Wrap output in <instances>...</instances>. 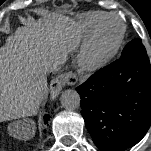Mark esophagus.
I'll list each match as a JSON object with an SVG mask.
<instances>
[{
	"label": "esophagus",
	"mask_w": 151,
	"mask_h": 151,
	"mask_svg": "<svg viewBox=\"0 0 151 151\" xmlns=\"http://www.w3.org/2000/svg\"><path fill=\"white\" fill-rule=\"evenodd\" d=\"M78 81V77L75 73L69 72L57 76L51 81L50 94L52 97H57L66 85L74 84Z\"/></svg>",
	"instance_id": "esophagus-1"
}]
</instances>
